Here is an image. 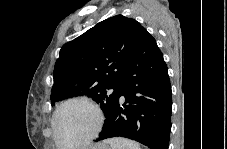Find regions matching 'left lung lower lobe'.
Returning <instances> with one entry per match:
<instances>
[{"mask_svg": "<svg viewBox=\"0 0 227 149\" xmlns=\"http://www.w3.org/2000/svg\"><path fill=\"white\" fill-rule=\"evenodd\" d=\"M171 113L172 92L166 63L155 39L142 28L119 96L95 141L125 137L150 149H168Z\"/></svg>", "mask_w": 227, "mask_h": 149, "instance_id": "left-lung-lower-lobe-1", "label": "left lung lower lobe"}]
</instances>
